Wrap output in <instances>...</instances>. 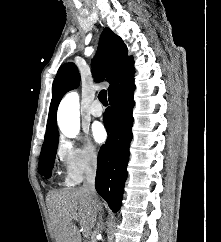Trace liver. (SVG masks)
<instances>
[{"label":"liver","instance_id":"obj_1","mask_svg":"<svg viewBox=\"0 0 221 242\" xmlns=\"http://www.w3.org/2000/svg\"><path fill=\"white\" fill-rule=\"evenodd\" d=\"M50 225L56 242H81L78 221L84 230H91L101 203L92 199L82 188L52 191L47 195Z\"/></svg>","mask_w":221,"mask_h":242}]
</instances>
